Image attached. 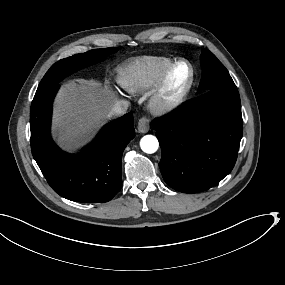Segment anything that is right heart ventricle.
Masks as SVG:
<instances>
[{
  "mask_svg": "<svg viewBox=\"0 0 285 285\" xmlns=\"http://www.w3.org/2000/svg\"><path fill=\"white\" fill-rule=\"evenodd\" d=\"M171 66V62L164 57H142L135 62V72L125 83V88L132 94H140L152 89Z\"/></svg>",
  "mask_w": 285,
  "mask_h": 285,
  "instance_id": "e07e8e85",
  "label": "right heart ventricle"
}]
</instances>
